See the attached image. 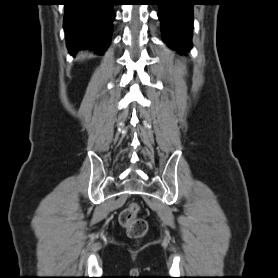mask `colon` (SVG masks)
Instances as JSON below:
<instances>
[{
    "instance_id": "obj_1",
    "label": "colon",
    "mask_w": 278,
    "mask_h": 278,
    "mask_svg": "<svg viewBox=\"0 0 278 278\" xmlns=\"http://www.w3.org/2000/svg\"><path fill=\"white\" fill-rule=\"evenodd\" d=\"M140 207L137 203H130L120 214V223L127 233L134 238L143 237L148 230L147 222L138 217Z\"/></svg>"
}]
</instances>
